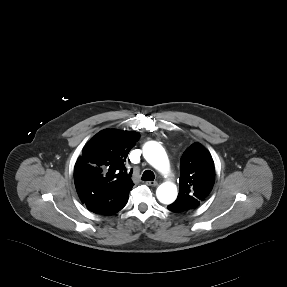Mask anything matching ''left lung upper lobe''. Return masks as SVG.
<instances>
[{
    "label": "left lung upper lobe",
    "mask_w": 287,
    "mask_h": 287,
    "mask_svg": "<svg viewBox=\"0 0 287 287\" xmlns=\"http://www.w3.org/2000/svg\"><path fill=\"white\" fill-rule=\"evenodd\" d=\"M180 174V192L173 205L183 212L198 207L212 190L215 167L210 153L201 144H192L181 157Z\"/></svg>",
    "instance_id": "5c2ea615"
}]
</instances>
